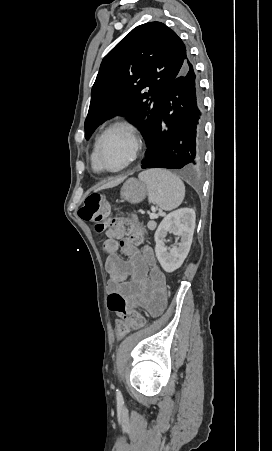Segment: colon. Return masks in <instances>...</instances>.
Wrapping results in <instances>:
<instances>
[{"label": "colon", "instance_id": "colon-1", "mask_svg": "<svg viewBox=\"0 0 272 451\" xmlns=\"http://www.w3.org/2000/svg\"><path fill=\"white\" fill-rule=\"evenodd\" d=\"M107 212V199L102 192H93L88 195L83 205L78 209L79 217L85 222L94 225L97 233L102 234L108 229L125 228L133 226V241L140 242L143 239V229L136 228L130 216L113 217L105 221ZM145 235V234H144ZM108 313L117 314V327L120 334L129 332L131 329L141 328L145 324V318L132 306L126 297L113 294L107 300Z\"/></svg>", "mask_w": 272, "mask_h": 451}]
</instances>
